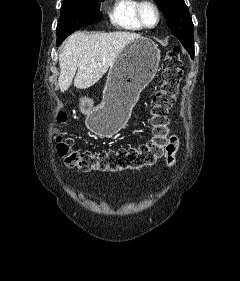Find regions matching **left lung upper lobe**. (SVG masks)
Here are the masks:
<instances>
[{"label":"left lung upper lobe","instance_id":"5c2ea615","mask_svg":"<svg viewBox=\"0 0 240 281\" xmlns=\"http://www.w3.org/2000/svg\"><path fill=\"white\" fill-rule=\"evenodd\" d=\"M166 17L167 24L190 56L194 57L193 22L184 0H154Z\"/></svg>","mask_w":240,"mask_h":281}]
</instances>
